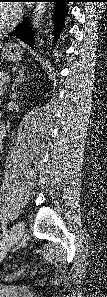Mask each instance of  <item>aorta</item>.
<instances>
[{
  "label": "aorta",
  "mask_w": 107,
  "mask_h": 297,
  "mask_svg": "<svg viewBox=\"0 0 107 297\" xmlns=\"http://www.w3.org/2000/svg\"><path fill=\"white\" fill-rule=\"evenodd\" d=\"M47 9V5L44 2H39L35 5L33 9V17H32V28L36 30L40 27L41 21L45 15Z\"/></svg>",
  "instance_id": "1"
}]
</instances>
